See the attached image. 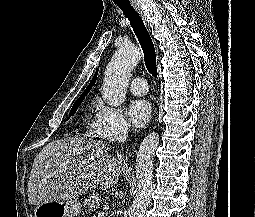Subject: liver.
Here are the masks:
<instances>
[{
  "instance_id": "6515ba94",
  "label": "liver",
  "mask_w": 255,
  "mask_h": 217,
  "mask_svg": "<svg viewBox=\"0 0 255 217\" xmlns=\"http://www.w3.org/2000/svg\"><path fill=\"white\" fill-rule=\"evenodd\" d=\"M106 143L87 138H66L43 147L34 159L29 181V204L75 199L100 185L117 184L123 159L109 154Z\"/></svg>"
}]
</instances>
